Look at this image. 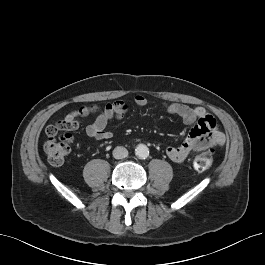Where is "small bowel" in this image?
Instances as JSON below:
<instances>
[{
	"mask_svg": "<svg viewBox=\"0 0 265 265\" xmlns=\"http://www.w3.org/2000/svg\"><path fill=\"white\" fill-rule=\"evenodd\" d=\"M135 104L138 107H144L147 104V99L142 95H138L135 97ZM128 110L129 105L123 101L109 104L96 117L94 122L86 127V134L95 140L110 139L112 134L107 130L109 122L114 118L121 119ZM166 110L169 114L182 118L186 124H194L188 136L180 145L169 146L166 149V154L171 161L181 163L191 152L225 144V136L218 129L216 120L204 108H192L180 103H171L166 106ZM78 114V111H72L67 115L75 120V128L78 126L76 121ZM208 133H211L210 136H208Z\"/></svg>",
	"mask_w": 265,
	"mask_h": 265,
	"instance_id": "c3829d8e",
	"label": "small bowel"
}]
</instances>
